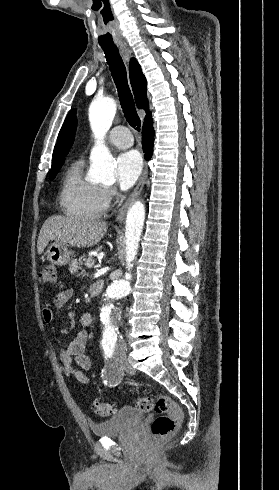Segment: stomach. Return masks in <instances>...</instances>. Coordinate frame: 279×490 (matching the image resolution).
I'll return each instance as SVG.
<instances>
[{"instance_id": "stomach-1", "label": "stomach", "mask_w": 279, "mask_h": 490, "mask_svg": "<svg viewBox=\"0 0 279 490\" xmlns=\"http://www.w3.org/2000/svg\"><path fill=\"white\" fill-rule=\"evenodd\" d=\"M46 256L50 264H55V266H66L74 258V252L68 250V246H61V244H56L53 242L46 250Z\"/></svg>"}]
</instances>
